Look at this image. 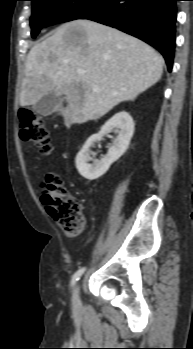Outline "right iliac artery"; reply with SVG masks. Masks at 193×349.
<instances>
[{"mask_svg":"<svg viewBox=\"0 0 193 349\" xmlns=\"http://www.w3.org/2000/svg\"><path fill=\"white\" fill-rule=\"evenodd\" d=\"M85 268H80L72 277L71 280V286H73L81 277V275L84 273Z\"/></svg>","mask_w":193,"mask_h":349,"instance_id":"obj_1","label":"right iliac artery"}]
</instances>
